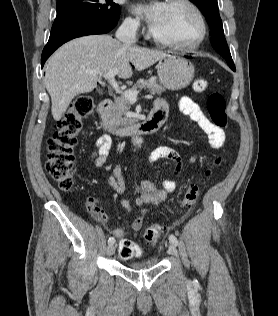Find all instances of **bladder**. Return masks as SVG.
I'll use <instances>...</instances> for the list:
<instances>
[{
	"mask_svg": "<svg viewBox=\"0 0 278 316\" xmlns=\"http://www.w3.org/2000/svg\"><path fill=\"white\" fill-rule=\"evenodd\" d=\"M158 260L155 258L145 259L141 261H132L126 264V266L134 271H145L151 268L156 267Z\"/></svg>",
	"mask_w": 278,
	"mask_h": 316,
	"instance_id": "bladder-1",
	"label": "bladder"
}]
</instances>
